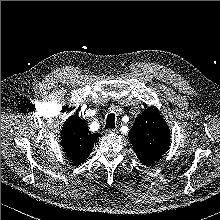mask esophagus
Instances as JSON below:
<instances>
[{"instance_id": "1", "label": "esophagus", "mask_w": 220, "mask_h": 220, "mask_svg": "<svg viewBox=\"0 0 220 220\" xmlns=\"http://www.w3.org/2000/svg\"><path fill=\"white\" fill-rule=\"evenodd\" d=\"M107 134H116L118 133L117 129L111 128L105 130Z\"/></svg>"}]
</instances>
